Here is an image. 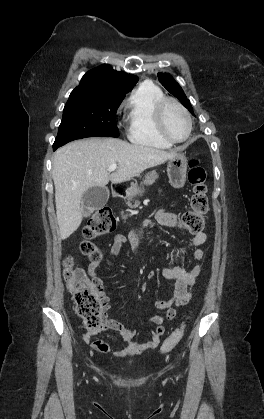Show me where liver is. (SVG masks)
Segmentation results:
<instances>
[{
  "instance_id": "liver-1",
  "label": "liver",
  "mask_w": 264,
  "mask_h": 419,
  "mask_svg": "<svg viewBox=\"0 0 264 419\" xmlns=\"http://www.w3.org/2000/svg\"><path fill=\"white\" fill-rule=\"evenodd\" d=\"M176 154L175 150L164 151L97 137L59 148L54 155L52 177L60 238L67 239L80 226L84 215L82 197L89 188L105 187L109 180L112 183L130 180ZM113 163L118 167L110 173L108 168Z\"/></svg>"
}]
</instances>
